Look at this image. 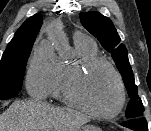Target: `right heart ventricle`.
<instances>
[{
	"label": "right heart ventricle",
	"mask_w": 151,
	"mask_h": 131,
	"mask_svg": "<svg viewBox=\"0 0 151 131\" xmlns=\"http://www.w3.org/2000/svg\"><path fill=\"white\" fill-rule=\"evenodd\" d=\"M77 59L74 61H56L55 74L50 94L55 97H65V82L70 72L83 60L98 56L96 44L90 39H75Z\"/></svg>",
	"instance_id": "right-heart-ventricle-1"
}]
</instances>
